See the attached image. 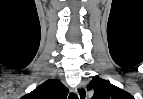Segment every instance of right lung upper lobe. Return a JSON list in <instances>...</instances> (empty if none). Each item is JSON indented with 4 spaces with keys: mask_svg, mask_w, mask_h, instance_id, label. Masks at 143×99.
<instances>
[{
    "mask_svg": "<svg viewBox=\"0 0 143 99\" xmlns=\"http://www.w3.org/2000/svg\"><path fill=\"white\" fill-rule=\"evenodd\" d=\"M68 89L59 80H47L22 99H66Z\"/></svg>",
    "mask_w": 143,
    "mask_h": 99,
    "instance_id": "obj_1",
    "label": "right lung upper lobe"
}]
</instances>
